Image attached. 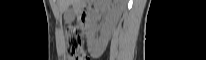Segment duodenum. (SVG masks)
Masks as SVG:
<instances>
[{
	"mask_svg": "<svg viewBox=\"0 0 206 60\" xmlns=\"http://www.w3.org/2000/svg\"><path fill=\"white\" fill-rule=\"evenodd\" d=\"M90 11H91V6L89 3L85 2L80 5L79 13H80V21L82 24H84L87 21Z\"/></svg>",
	"mask_w": 206,
	"mask_h": 60,
	"instance_id": "410a0bca",
	"label": "duodenum"
}]
</instances>
